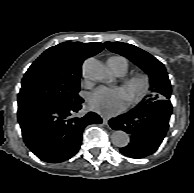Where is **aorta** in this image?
I'll return each mask as SVG.
<instances>
[{
	"label": "aorta",
	"mask_w": 194,
	"mask_h": 193,
	"mask_svg": "<svg viewBox=\"0 0 194 193\" xmlns=\"http://www.w3.org/2000/svg\"><path fill=\"white\" fill-rule=\"evenodd\" d=\"M83 74L86 78L93 81H107L109 79L108 69L97 59L88 58L83 64ZM111 141L116 147H125L129 144V135L122 131H114Z\"/></svg>",
	"instance_id": "762f6f07"
}]
</instances>
